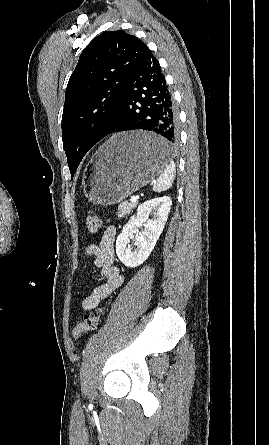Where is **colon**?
<instances>
[{
  "mask_svg": "<svg viewBox=\"0 0 269 445\" xmlns=\"http://www.w3.org/2000/svg\"><path fill=\"white\" fill-rule=\"evenodd\" d=\"M101 228V219L95 214L86 218V231L88 234H95ZM105 313V308H100L95 315H86L79 323L75 325L72 331L74 339H79L83 334L96 330L100 319Z\"/></svg>",
  "mask_w": 269,
  "mask_h": 445,
  "instance_id": "1",
  "label": "colon"
}]
</instances>
